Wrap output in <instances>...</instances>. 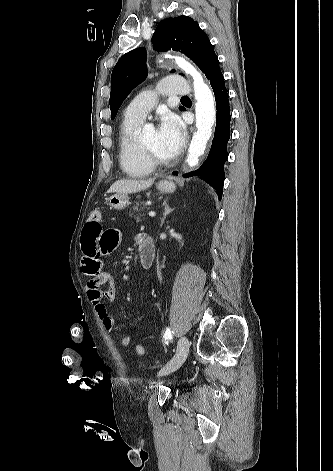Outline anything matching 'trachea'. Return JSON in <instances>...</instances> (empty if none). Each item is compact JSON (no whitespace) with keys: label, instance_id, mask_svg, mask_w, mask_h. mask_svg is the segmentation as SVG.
<instances>
[{"label":"trachea","instance_id":"1","mask_svg":"<svg viewBox=\"0 0 333 471\" xmlns=\"http://www.w3.org/2000/svg\"><path fill=\"white\" fill-rule=\"evenodd\" d=\"M181 99H189L188 96H183Z\"/></svg>","mask_w":333,"mask_h":471}]
</instances>
